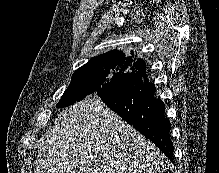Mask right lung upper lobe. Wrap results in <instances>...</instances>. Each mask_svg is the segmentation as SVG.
Segmentation results:
<instances>
[{
	"mask_svg": "<svg viewBox=\"0 0 219 173\" xmlns=\"http://www.w3.org/2000/svg\"><path fill=\"white\" fill-rule=\"evenodd\" d=\"M131 55L132 56H126L125 53L117 49L111 50L107 53L93 57L90 61H88L85 65H83L76 71L80 70L85 66H98L112 61L118 62L120 64L128 65L132 67L134 70H138L146 66L145 61L143 59L139 58L136 60L134 58L133 51H131Z\"/></svg>",
	"mask_w": 219,
	"mask_h": 173,
	"instance_id": "cb5924a9",
	"label": "right lung upper lobe"
}]
</instances>
